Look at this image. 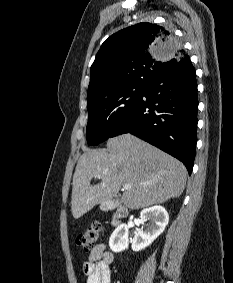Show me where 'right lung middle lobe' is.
<instances>
[{
	"label": "right lung middle lobe",
	"instance_id": "obj_1",
	"mask_svg": "<svg viewBox=\"0 0 233 283\" xmlns=\"http://www.w3.org/2000/svg\"><path fill=\"white\" fill-rule=\"evenodd\" d=\"M145 89L146 86H129L89 105L86 129L88 144L98 145L111 137L114 129L141 99Z\"/></svg>",
	"mask_w": 233,
	"mask_h": 283
}]
</instances>
